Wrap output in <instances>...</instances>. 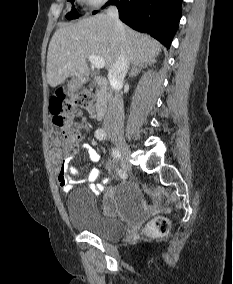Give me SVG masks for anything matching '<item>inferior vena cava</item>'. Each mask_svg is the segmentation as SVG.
Wrapping results in <instances>:
<instances>
[{"mask_svg": "<svg viewBox=\"0 0 233 284\" xmlns=\"http://www.w3.org/2000/svg\"><path fill=\"white\" fill-rule=\"evenodd\" d=\"M107 15L112 18L117 28L120 31L123 48H121L120 55L115 63L112 65L108 73V78L112 89L116 92L115 97L111 98L109 102L103 127L106 131L121 132L124 123V105L121 97V88L123 86L124 78L128 71L129 60L126 56V31L124 25L120 22L118 17V10L115 6H110L107 9Z\"/></svg>", "mask_w": 233, "mask_h": 284, "instance_id": "1", "label": "inferior vena cava"}]
</instances>
